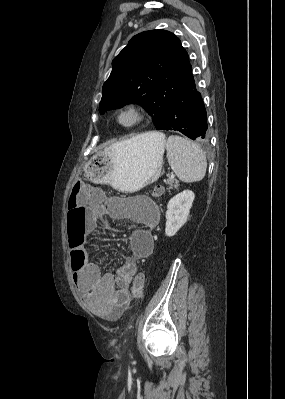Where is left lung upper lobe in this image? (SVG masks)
Returning a JSON list of instances; mask_svg holds the SVG:
<instances>
[{"label":"left lung upper lobe","mask_w":285,"mask_h":399,"mask_svg":"<svg viewBox=\"0 0 285 399\" xmlns=\"http://www.w3.org/2000/svg\"><path fill=\"white\" fill-rule=\"evenodd\" d=\"M112 66L99 112L138 103L153 117L157 130L164 126L174 96L193 76L180 40L165 30L135 35Z\"/></svg>","instance_id":"5c2ea615"}]
</instances>
